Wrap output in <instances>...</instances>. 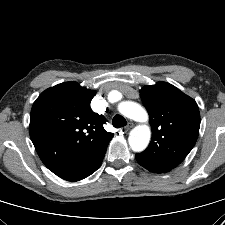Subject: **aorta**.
<instances>
[{
    "mask_svg": "<svg viewBox=\"0 0 225 225\" xmlns=\"http://www.w3.org/2000/svg\"><path fill=\"white\" fill-rule=\"evenodd\" d=\"M119 112L137 122H146L148 114L146 110L139 104L132 101L122 102ZM151 137V130L147 125H138L133 128L129 134L128 142L134 152H141L146 149Z\"/></svg>",
    "mask_w": 225,
    "mask_h": 225,
    "instance_id": "1",
    "label": "aorta"
}]
</instances>
